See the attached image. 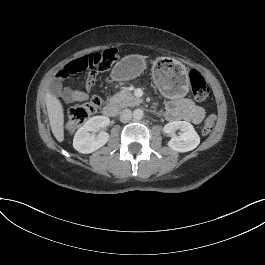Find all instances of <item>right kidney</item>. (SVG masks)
<instances>
[{"mask_svg":"<svg viewBox=\"0 0 265 265\" xmlns=\"http://www.w3.org/2000/svg\"><path fill=\"white\" fill-rule=\"evenodd\" d=\"M109 124L104 116H95L89 119L75 134L73 147L81 154H91L102 148L110 139L107 132H99L102 127Z\"/></svg>","mask_w":265,"mask_h":265,"instance_id":"obj_1","label":"right kidney"}]
</instances>
